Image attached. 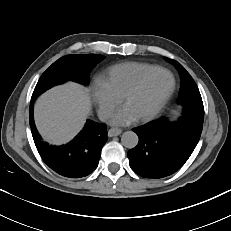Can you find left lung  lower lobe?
<instances>
[{
    "instance_id": "1",
    "label": "left lung lower lobe",
    "mask_w": 231,
    "mask_h": 231,
    "mask_svg": "<svg viewBox=\"0 0 231 231\" xmlns=\"http://www.w3.org/2000/svg\"><path fill=\"white\" fill-rule=\"evenodd\" d=\"M203 118L183 116L176 122L157 119L133 129L138 145L129 150V165L146 178H162L178 171L195 149Z\"/></svg>"
}]
</instances>
